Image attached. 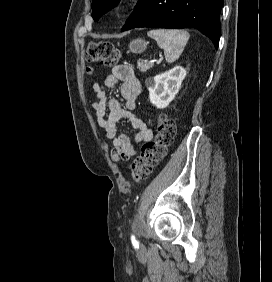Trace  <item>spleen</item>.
Wrapping results in <instances>:
<instances>
[{
	"mask_svg": "<svg viewBox=\"0 0 272 282\" xmlns=\"http://www.w3.org/2000/svg\"><path fill=\"white\" fill-rule=\"evenodd\" d=\"M148 36L155 39L164 50L168 63H173L180 57L190 37L187 31L175 29H153L148 32Z\"/></svg>",
	"mask_w": 272,
	"mask_h": 282,
	"instance_id": "spleen-1",
	"label": "spleen"
}]
</instances>
